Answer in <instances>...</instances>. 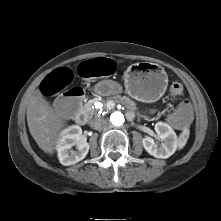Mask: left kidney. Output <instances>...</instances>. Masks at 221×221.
I'll use <instances>...</instances> for the list:
<instances>
[{
	"mask_svg": "<svg viewBox=\"0 0 221 221\" xmlns=\"http://www.w3.org/2000/svg\"><path fill=\"white\" fill-rule=\"evenodd\" d=\"M157 136L162 141L158 146L150 137L142 140L144 149L156 158L166 159L173 155L178 147V138L174 130L166 123L158 122L155 124Z\"/></svg>",
	"mask_w": 221,
	"mask_h": 221,
	"instance_id": "1",
	"label": "left kidney"
}]
</instances>
